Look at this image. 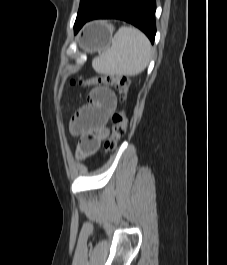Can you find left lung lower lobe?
Wrapping results in <instances>:
<instances>
[{"instance_id": "left-lung-lower-lobe-1", "label": "left lung lower lobe", "mask_w": 227, "mask_h": 265, "mask_svg": "<svg viewBox=\"0 0 227 265\" xmlns=\"http://www.w3.org/2000/svg\"><path fill=\"white\" fill-rule=\"evenodd\" d=\"M155 0H105L91 15L75 23L74 32L93 19L124 20L142 30L154 42L156 34Z\"/></svg>"}]
</instances>
